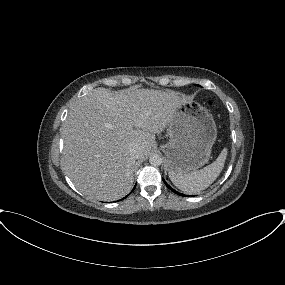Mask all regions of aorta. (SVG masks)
<instances>
[{"instance_id": "obj_1", "label": "aorta", "mask_w": 285, "mask_h": 285, "mask_svg": "<svg viewBox=\"0 0 285 285\" xmlns=\"http://www.w3.org/2000/svg\"><path fill=\"white\" fill-rule=\"evenodd\" d=\"M149 162L152 166H160L163 162V159L159 154H152L149 157Z\"/></svg>"}]
</instances>
